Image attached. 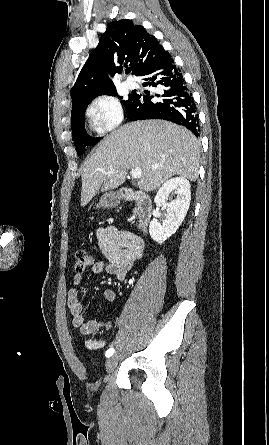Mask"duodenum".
<instances>
[{
    "label": "duodenum",
    "instance_id": "1",
    "mask_svg": "<svg viewBox=\"0 0 269 445\" xmlns=\"http://www.w3.org/2000/svg\"><path fill=\"white\" fill-rule=\"evenodd\" d=\"M120 197L124 200L134 201L137 204V222L139 227L145 231L151 221L152 215V202L150 197L141 191H134L132 189H122L120 191Z\"/></svg>",
    "mask_w": 269,
    "mask_h": 445
}]
</instances>
